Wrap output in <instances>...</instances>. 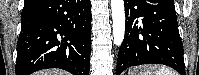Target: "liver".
Returning a JSON list of instances; mask_svg holds the SVG:
<instances>
[{
    "label": "liver",
    "instance_id": "1",
    "mask_svg": "<svg viewBox=\"0 0 199 75\" xmlns=\"http://www.w3.org/2000/svg\"><path fill=\"white\" fill-rule=\"evenodd\" d=\"M36 75H68L67 72L62 70H45L37 72Z\"/></svg>",
    "mask_w": 199,
    "mask_h": 75
}]
</instances>
